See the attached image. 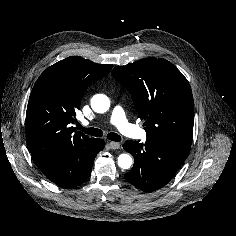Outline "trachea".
I'll use <instances>...</instances> for the list:
<instances>
[{
	"label": "trachea",
	"instance_id": "3493384b",
	"mask_svg": "<svg viewBox=\"0 0 236 236\" xmlns=\"http://www.w3.org/2000/svg\"><path fill=\"white\" fill-rule=\"evenodd\" d=\"M79 130L83 131L84 133L91 135V136H95V137H102L103 136V132L102 130L98 129V128H84L83 126L79 125L78 126ZM107 138L111 141H115V142H119L121 141V137L116 134V133H109L107 135Z\"/></svg>",
	"mask_w": 236,
	"mask_h": 236
}]
</instances>
